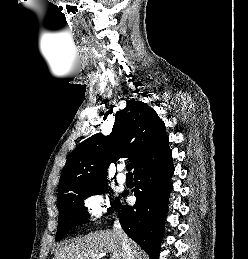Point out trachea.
<instances>
[{
	"instance_id": "3493384b",
	"label": "trachea",
	"mask_w": 248,
	"mask_h": 259,
	"mask_svg": "<svg viewBox=\"0 0 248 259\" xmlns=\"http://www.w3.org/2000/svg\"><path fill=\"white\" fill-rule=\"evenodd\" d=\"M132 168H133V165L132 164H127L126 165V170L128 171V175H131L132 173H131V171H132Z\"/></svg>"
}]
</instances>
